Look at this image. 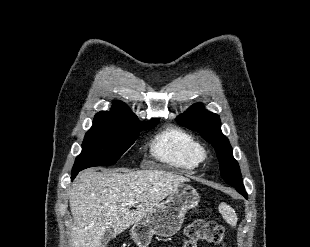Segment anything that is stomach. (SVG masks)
Listing matches in <instances>:
<instances>
[{"mask_svg":"<svg viewBox=\"0 0 310 247\" xmlns=\"http://www.w3.org/2000/svg\"><path fill=\"white\" fill-rule=\"evenodd\" d=\"M200 197L188 184H179L168 198L155 206L149 215L133 224L130 236L138 247H148L154 234L171 237L181 228L185 214L198 206Z\"/></svg>","mask_w":310,"mask_h":247,"instance_id":"stomach-1","label":"stomach"}]
</instances>
